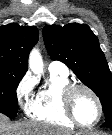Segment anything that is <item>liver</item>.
<instances>
[{
    "label": "liver",
    "instance_id": "liver-1",
    "mask_svg": "<svg viewBox=\"0 0 112 135\" xmlns=\"http://www.w3.org/2000/svg\"><path fill=\"white\" fill-rule=\"evenodd\" d=\"M0 135H74V133L35 121L11 123L5 115L0 114Z\"/></svg>",
    "mask_w": 112,
    "mask_h": 135
}]
</instances>
